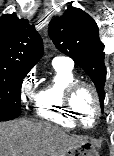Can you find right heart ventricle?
<instances>
[{
	"label": "right heart ventricle",
	"instance_id": "e07e8e85",
	"mask_svg": "<svg viewBox=\"0 0 114 156\" xmlns=\"http://www.w3.org/2000/svg\"><path fill=\"white\" fill-rule=\"evenodd\" d=\"M53 68L52 78L41 87L35 96L36 113L41 118L64 128H75L77 123L66 108L65 95L68 87L78 78L72 67L53 64Z\"/></svg>",
	"mask_w": 114,
	"mask_h": 156
}]
</instances>
